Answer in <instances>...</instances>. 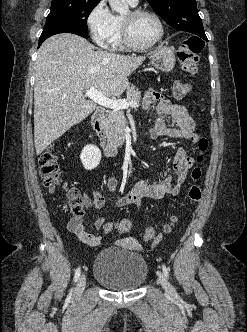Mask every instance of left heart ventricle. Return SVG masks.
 <instances>
[{
  "mask_svg": "<svg viewBox=\"0 0 247 332\" xmlns=\"http://www.w3.org/2000/svg\"><path fill=\"white\" fill-rule=\"evenodd\" d=\"M123 18L129 21L132 38L137 44H149L159 36V25L152 16L140 15L132 17L130 12H128Z\"/></svg>",
  "mask_w": 247,
  "mask_h": 332,
  "instance_id": "left-heart-ventricle-1",
  "label": "left heart ventricle"
}]
</instances>
